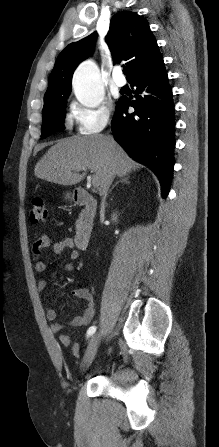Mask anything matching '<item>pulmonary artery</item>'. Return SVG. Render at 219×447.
I'll return each mask as SVG.
<instances>
[{"instance_id": "e3ab8cb5", "label": "pulmonary artery", "mask_w": 219, "mask_h": 447, "mask_svg": "<svg viewBox=\"0 0 219 447\" xmlns=\"http://www.w3.org/2000/svg\"><path fill=\"white\" fill-rule=\"evenodd\" d=\"M113 81L115 85L119 88L123 87L126 83L125 78L122 76L121 69L116 68L114 70Z\"/></svg>"}]
</instances>
